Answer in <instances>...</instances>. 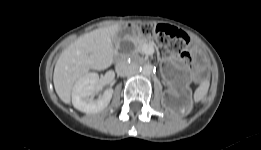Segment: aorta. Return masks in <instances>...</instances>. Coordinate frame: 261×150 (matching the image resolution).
<instances>
[{
  "label": "aorta",
  "mask_w": 261,
  "mask_h": 150,
  "mask_svg": "<svg viewBox=\"0 0 261 150\" xmlns=\"http://www.w3.org/2000/svg\"><path fill=\"white\" fill-rule=\"evenodd\" d=\"M155 67L151 64H145L143 67H142V74L144 75H150L152 74V72L154 71Z\"/></svg>",
  "instance_id": "obj_1"
}]
</instances>
